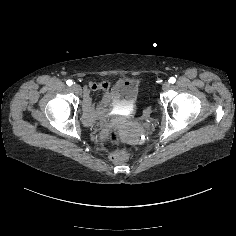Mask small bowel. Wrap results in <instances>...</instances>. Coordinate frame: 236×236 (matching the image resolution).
Returning a JSON list of instances; mask_svg holds the SVG:
<instances>
[{"instance_id": "obj_1", "label": "small bowel", "mask_w": 236, "mask_h": 236, "mask_svg": "<svg viewBox=\"0 0 236 236\" xmlns=\"http://www.w3.org/2000/svg\"><path fill=\"white\" fill-rule=\"evenodd\" d=\"M109 86H110V83L107 81L101 82L99 84H94V83L90 84L91 89L107 90L109 88Z\"/></svg>"}]
</instances>
